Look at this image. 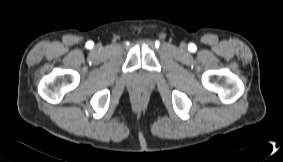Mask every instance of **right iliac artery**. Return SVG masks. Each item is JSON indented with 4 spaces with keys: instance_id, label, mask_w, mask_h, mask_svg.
Segmentation results:
<instances>
[{
    "instance_id": "right-iliac-artery-1",
    "label": "right iliac artery",
    "mask_w": 283,
    "mask_h": 162,
    "mask_svg": "<svg viewBox=\"0 0 283 162\" xmlns=\"http://www.w3.org/2000/svg\"><path fill=\"white\" fill-rule=\"evenodd\" d=\"M93 45H94L93 42H88L89 47H93Z\"/></svg>"
}]
</instances>
